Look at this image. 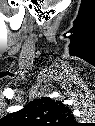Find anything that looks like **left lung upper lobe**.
<instances>
[{
  "label": "left lung upper lobe",
  "instance_id": "5c2ea615",
  "mask_svg": "<svg viewBox=\"0 0 95 126\" xmlns=\"http://www.w3.org/2000/svg\"><path fill=\"white\" fill-rule=\"evenodd\" d=\"M6 118L17 126H70L74 119L69 107L49 97L34 99Z\"/></svg>",
  "mask_w": 95,
  "mask_h": 126
}]
</instances>
